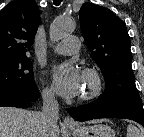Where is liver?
I'll return each instance as SVG.
<instances>
[{
  "mask_svg": "<svg viewBox=\"0 0 144 137\" xmlns=\"http://www.w3.org/2000/svg\"><path fill=\"white\" fill-rule=\"evenodd\" d=\"M41 112L0 107V137H42ZM59 137V127L53 131Z\"/></svg>",
  "mask_w": 144,
  "mask_h": 137,
  "instance_id": "6515ba94",
  "label": "liver"
}]
</instances>
